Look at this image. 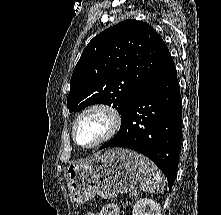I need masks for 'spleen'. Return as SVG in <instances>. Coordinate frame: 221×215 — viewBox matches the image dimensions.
Listing matches in <instances>:
<instances>
[{
  "label": "spleen",
  "instance_id": "3e777b00",
  "mask_svg": "<svg viewBox=\"0 0 221 215\" xmlns=\"http://www.w3.org/2000/svg\"><path fill=\"white\" fill-rule=\"evenodd\" d=\"M140 158L142 172L141 190L148 193H163L166 182L165 177L151 160L145 156H140Z\"/></svg>",
  "mask_w": 221,
  "mask_h": 215
}]
</instances>
